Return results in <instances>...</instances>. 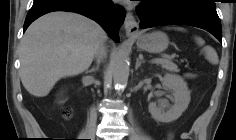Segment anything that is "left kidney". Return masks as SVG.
<instances>
[{
  "instance_id": "left-kidney-1",
  "label": "left kidney",
  "mask_w": 236,
  "mask_h": 140,
  "mask_svg": "<svg viewBox=\"0 0 236 140\" xmlns=\"http://www.w3.org/2000/svg\"><path fill=\"white\" fill-rule=\"evenodd\" d=\"M165 89L172 91L175 101L167 111L155 102L149 104V111L153 118L163 123H169L178 119L186 110L190 102V92L187 83L182 77L174 74H166L163 78Z\"/></svg>"
}]
</instances>
